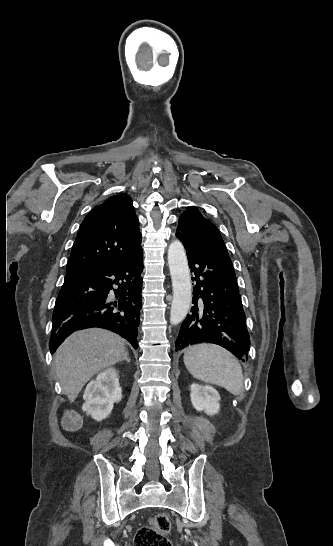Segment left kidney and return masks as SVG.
Listing matches in <instances>:
<instances>
[{
	"label": "left kidney",
	"instance_id": "left-kidney-1",
	"mask_svg": "<svg viewBox=\"0 0 333 546\" xmlns=\"http://www.w3.org/2000/svg\"><path fill=\"white\" fill-rule=\"evenodd\" d=\"M190 397L192 405L197 411H204L211 416L219 412L220 396L211 386L192 384Z\"/></svg>",
	"mask_w": 333,
	"mask_h": 546
}]
</instances>
